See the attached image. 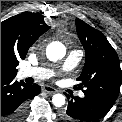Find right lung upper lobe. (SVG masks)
Returning a JSON list of instances; mask_svg holds the SVG:
<instances>
[{"instance_id":"1","label":"right lung upper lobe","mask_w":122,"mask_h":122,"mask_svg":"<svg viewBox=\"0 0 122 122\" xmlns=\"http://www.w3.org/2000/svg\"><path fill=\"white\" fill-rule=\"evenodd\" d=\"M49 28L39 13L23 12L1 22V62L17 66L29 47Z\"/></svg>"}]
</instances>
